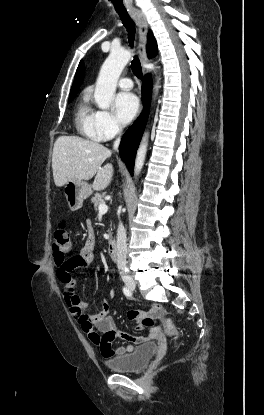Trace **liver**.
Instances as JSON below:
<instances>
[{"label":"liver","mask_w":264,"mask_h":415,"mask_svg":"<svg viewBox=\"0 0 264 415\" xmlns=\"http://www.w3.org/2000/svg\"><path fill=\"white\" fill-rule=\"evenodd\" d=\"M112 152L100 143L77 136H60L53 148L52 169L57 187L71 180L85 181L95 176L93 189L104 190L111 182L113 165L102 163Z\"/></svg>","instance_id":"6515ba94"}]
</instances>
